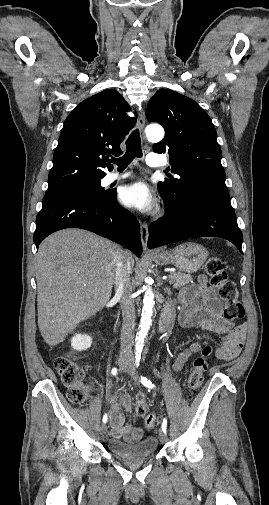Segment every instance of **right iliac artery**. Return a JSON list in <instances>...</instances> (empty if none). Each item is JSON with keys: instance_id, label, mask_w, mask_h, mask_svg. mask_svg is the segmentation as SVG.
Wrapping results in <instances>:
<instances>
[{"instance_id": "right-iliac-artery-1", "label": "right iliac artery", "mask_w": 269, "mask_h": 505, "mask_svg": "<svg viewBox=\"0 0 269 505\" xmlns=\"http://www.w3.org/2000/svg\"><path fill=\"white\" fill-rule=\"evenodd\" d=\"M111 373H112V375H116V374L118 373L117 368H113V369L111 370ZM107 419H108V416H107V414H105V415L103 416V423H106V422H107Z\"/></svg>"}]
</instances>
